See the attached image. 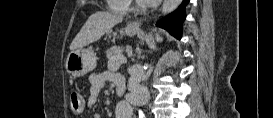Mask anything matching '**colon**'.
<instances>
[{"label":"colon","instance_id":"obj_1","mask_svg":"<svg viewBox=\"0 0 273 118\" xmlns=\"http://www.w3.org/2000/svg\"><path fill=\"white\" fill-rule=\"evenodd\" d=\"M70 107L73 113L80 114L84 110V98L79 91H73L70 96Z\"/></svg>","mask_w":273,"mask_h":118}]
</instances>
